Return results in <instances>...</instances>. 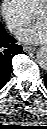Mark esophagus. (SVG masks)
Returning <instances> with one entry per match:
<instances>
[{"label":"esophagus","mask_w":47,"mask_h":129,"mask_svg":"<svg viewBox=\"0 0 47 129\" xmlns=\"http://www.w3.org/2000/svg\"><path fill=\"white\" fill-rule=\"evenodd\" d=\"M23 50L24 52L29 53V52H34L35 48L31 46H23Z\"/></svg>","instance_id":"esophagus-1"}]
</instances>
